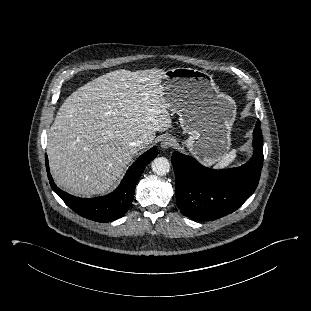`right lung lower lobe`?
Segmentation results:
<instances>
[{
  "instance_id": "obj_1",
  "label": "right lung lower lobe",
  "mask_w": 311,
  "mask_h": 311,
  "mask_svg": "<svg viewBox=\"0 0 311 311\" xmlns=\"http://www.w3.org/2000/svg\"><path fill=\"white\" fill-rule=\"evenodd\" d=\"M154 146L142 154L128 169L119 187L111 194L91 199H82L60 190L53 182L45 155L48 178L53 191L77 214L97 222H110L122 217L129 209L136 184L144 168L157 156Z\"/></svg>"
}]
</instances>
